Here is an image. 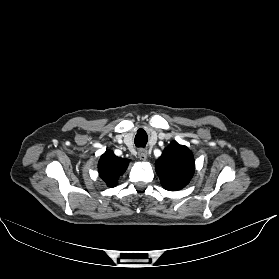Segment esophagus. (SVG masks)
<instances>
[{
    "instance_id": "obj_1",
    "label": "esophagus",
    "mask_w": 279,
    "mask_h": 279,
    "mask_svg": "<svg viewBox=\"0 0 279 279\" xmlns=\"http://www.w3.org/2000/svg\"><path fill=\"white\" fill-rule=\"evenodd\" d=\"M147 157H148L147 151H145V150H140V151L138 152V158H139L140 160L146 161V160H147Z\"/></svg>"
}]
</instances>
